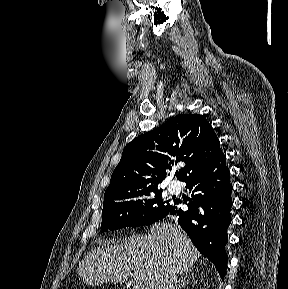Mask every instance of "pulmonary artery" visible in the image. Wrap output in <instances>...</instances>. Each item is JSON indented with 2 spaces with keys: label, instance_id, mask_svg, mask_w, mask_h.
Segmentation results:
<instances>
[{
  "label": "pulmonary artery",
  "instance_id": "pulmonary-artery-1",
  "mask_svg": "<svg viewBox=\"0 0 288 289\" xmlns=\"http://www.w3.org/2000/svg\"><path fill=\"white\" fill-rule=\"evenodd\" d=\"M168 190H169V192L172 193V194H177V193H179V191H180V186L177 185L176 183H171V184H169V186H168Z\"/></svg>",
  "mask_w": 288,
  "mask_h": 289
}]
</instances>
